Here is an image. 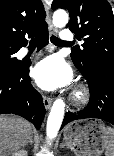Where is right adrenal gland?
<instances>
[{
	"mask_svg": "<svg viewBox=\"0 0 114 156\" xmlns=\"http://www.w3.org/2000/svg\"><path fill=\"white\" fill-rule=\"evenodd\" d=\"M28 144L32 145L33 144V139L32 136L30 137L29 141L25 144V146H27Z\"/></svg>",
	"mask_w": 114,
	"mask_h": 156,
	"instance_id": "2a0ac1e0",
	"label": "right adrenal gland"
}]
</instances>
